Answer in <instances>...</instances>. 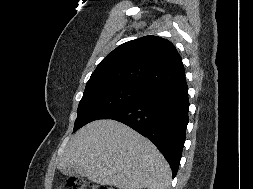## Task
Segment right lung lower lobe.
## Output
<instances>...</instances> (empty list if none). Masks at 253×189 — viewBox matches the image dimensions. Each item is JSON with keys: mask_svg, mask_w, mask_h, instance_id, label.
Here are the masks:
<instances>
[{"mask_svg": "<svg viewBox=\"0 0 253 189\" xmlns=\"http://www.w3.org/2000/svg\"><path fill=\"white\" fill-rule=\"evenodd\" d=\"M186 79L163 84L149 91L134 104L104 117L122 122L154 143L177 174L188 124Z\"/></svg>", "mask_w": 253, "mask_h": 189, "instance_id": "1", "label": "right lung lower lobe"}]
</instances>
